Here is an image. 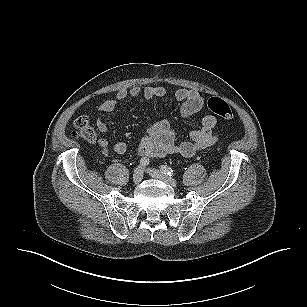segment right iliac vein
Returning <instances> with one entry per match:
<instances>
[{
	"label": "right iliac vein",
	"mask_w": 307,
	"mask_h": 307,
	"mask_svg": "<svg viewBox=\"0 0 307 307\" xmlns=\"http://www.w3.org/2000/svg\"><path fill=\"white\" fill-rule=\"evenodd\" d=\"M142 179H143V171H142V168L139 166L134 171L133 183L137 185L142 181Z\"/></svg>",
	"instance_id": "right-iliac-vein-1"
}]
</instances>
